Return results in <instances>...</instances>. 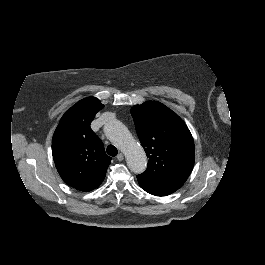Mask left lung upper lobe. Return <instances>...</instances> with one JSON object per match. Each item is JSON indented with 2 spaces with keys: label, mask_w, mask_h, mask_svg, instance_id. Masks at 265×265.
<instances>
[{
  "label": "left lung upper lobe",
  "mask_w": 265,
  "mask_h": 265,
  "mask_svg": "<svg viewBox=\"0 0 265 265\" xmlns=\"http://www.w3.org/2000/svg\"><path fill=\"white\" fill-rule=\"evenodd\" d=\"M131 114L149 157L146 171L137 178L178 190L194 166L195 147L188 127L176 113L156 101L132 107Z\"/></svg>",
  "instance_id": "1"
}]
</instances>
